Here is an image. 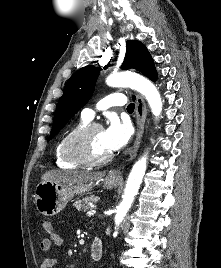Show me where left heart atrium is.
<instances>
[{
  "mask_svg": "<svg viewBox=\"0 0 221 268\" xmlns=\"http://www.w3.org/2000/svg\"><path fill=\"white\" fill-rule=\"evenodd\" d=\"M130 138V127L116 118H112L104 130V139L110 152L121 149Z\"/></svg>",
  "mask_w": 221,
  "mask_h": 268,
  "instance_id": "39dd6f15",
  "label": "left heart atrium"
}]
</instances>
